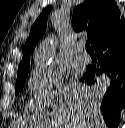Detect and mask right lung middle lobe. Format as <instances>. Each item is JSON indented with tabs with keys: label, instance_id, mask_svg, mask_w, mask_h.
I'll list each match as a JSON object with an SVG mask.
<instances>
[{
	"label": "right lung middle lobe",
	"instance_id": "1",
	"mask_svg": "<svg viewBox=\"0 0 125 128\" xmlns=\"http://www.w3.org/2000/svg\"><path fill=\"white\" fill-rule=\"evenodd\" d=\"M29 70H30V68L28 67V68L17 73L15 94H18L22 90V88L25 84Z\"/></svg>",
	"mask_w": 125,
	"mask_h": 128
}]
</instances>
